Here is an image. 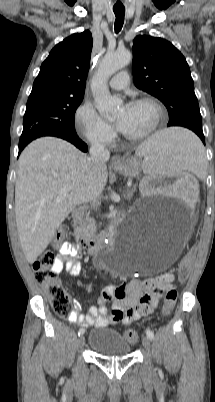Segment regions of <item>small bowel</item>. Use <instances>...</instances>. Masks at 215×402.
<instances>
[{
    "label": "small bowel",
    "instance_id": "1",
    "mask_svg": "<svg viewBox=\"0 0 215 402\" xmlns=\"http://www.w3.org/2000/svg\"><path fill=\"white\" fill-rule=\"evenodd\" d=\"M63 269L70 276L79 275L81 263L77 243L66 241L59 246L53 270L59 273ZM172 281L173 276L165 273L153 278L125 280L120 285L106 286L98 298V306H91L86 315L81 314L82 305L74 298L67 319L82 329L88 326L101 328L115 323L128 325L150 314L163 292L172 288ZM108 302L113 303L111 313H108L106 307ZM146 307H150V310Z\"/></svg>",
    "mask_w": 215,
    "mask_h": 402
}]
</instances>
